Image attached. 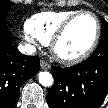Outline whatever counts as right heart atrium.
Returning <instances> with one entry per match:
<instances>
[{
	"label": "right heart atrium",
	"instance_id": "1",
	"mask_svg": "<svg viewBox=\"0 0 108 108\" xmlns=\"http://www.w3.org/2000/svg\"><path fill=\"white\" fill-rule=\"evenodd\" d=\"M24 37L27 41H29L30 43H33V44H37L38 43V40L35 39L26 29L25 33H24Z\"/></svg>",
	"mask_w": 108,
	"mask_h": 108
}]
</instances>
